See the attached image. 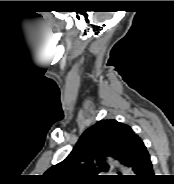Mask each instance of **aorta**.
<instances>
[{
    "instance_id": "762f6f07",
    "label": "aorta",
    "mask_w": 174,
    "mask_h": 184,
    "mask_svg": "<svg viewBox=\"0 0 174 184\" xmlns=\"http://www.w3.org/2000/svg\"><path fill=\"white\" fill-rule=\"evenodd\" d=\"M114 164L120 169V171L122 173H124V175H127V173L130 172V170L122 165H120L118 162H114Z\"/></svg>"
}]
</instances>
